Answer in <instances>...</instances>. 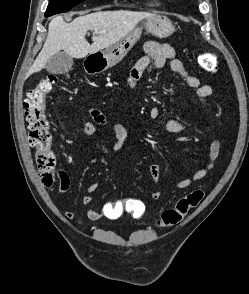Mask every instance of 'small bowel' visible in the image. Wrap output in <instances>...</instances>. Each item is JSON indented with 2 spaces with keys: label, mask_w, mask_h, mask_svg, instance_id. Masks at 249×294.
I'll return each instance as SVG.
<instances>
[{
  "label": "small bowel",
  "mask_w": 249,
  "mask_h": 294,
  "mask_svg": "<svg viewBox=\"0 0 249 294\" xmlns=\"http://www.w3.org/2000/svg\"><path fill=\"white\" fill-rule=\"evenodd\" d=\"M145 55L137 61V63L132 68L129 74V83L131 86H135L140 80L142 74L149 68L155 67L157 69L162 68L167 60H170V69L173 73H176L183 77L189 87L195 89L198 102L201 107H205L207 98L212 94V88L209 85L201 83V81L190 75L184 64L180 59L177 58L175 50L168 44H160L154 41H148L144 44ZM91 114L94 122H85L83 125V132L94 138L99 149L106 154L118 152L125 140L128 137V130L125 126L121 124H115L112 127L114 142L111 145L104 144L99 138V127L106 124L105 116L98 110ZM149 117L151 120L160 121L166 131L172 134H181L187 131L191 127V122L189 121H177L174 119L166 118L163 116L161 109L157 106H153L149 109ZM220 143L217 139H213L210 144V150L208 158L204 166L193 173L191 176L186 177L175 184L169 190V193H175L178 190L185 189L192 185L194 182L203 179L213 168L215 162L219 156ZM149 172L151 179L154 184H158L160 180V168L157 163H152L149 167ZM100 188L99 182L91 183L87 187V193L82 197V202L84 204H90L93 200L92 194L95 193ZM70 189V178L69 176L62 172L60 177V183L58 188V193L60 195L66 194ZM161 196V192L155 190L151 194L153 200H158ZM112 202H105L100 209L90 208L86 211V217L89 221L95 222L101 218L107 219H117L112 215ZM65 217L72 222L80 224L81 222L76 219L73 210H67L65 212Z\"/></svg>",
  "instance_id": "small-bowel-1"
}]
</instances>
